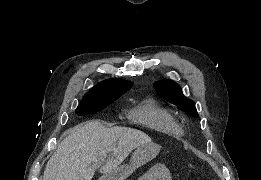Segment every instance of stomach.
I'll list each match as a JSON object with an SVG mask.
<instances>
[{
    "label": "stomach",
    "instance_id": "0dacf381",
    "mask_svg": "<svg viewBox=\"0 0 261 180\" xmlns=\"http://www.w3.org/2000/svg\"><path fill=\"white\" fill-rule=\"evenodd\" d=\"M160 152V146L149 142L139 146L133 153L130 163L121 165L110 173L104 174L99 180H125L133 171L154 159Z\"/></svg>",
    "mask_w": 261,
    "mask_h": 180
}]
</instances>
